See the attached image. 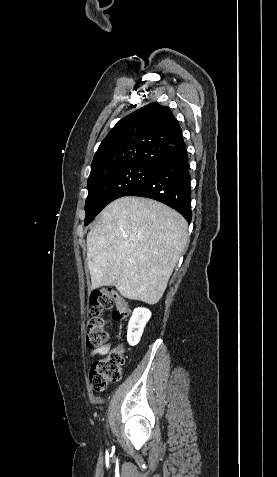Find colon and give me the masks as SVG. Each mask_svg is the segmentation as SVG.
I'll list each match as a JSON object with an SVG mask.
<instances>
[{
  "instance_id": "5ec220e1",
  "label": "colon",
  "mask_w": 277,
  "mask_h": 477,
  "mask_svg": "<svg viewBox=\"0 0 277 477\" xmlns=\"http://www.w3.org/2000/svg\"><path fill=\"white\" fill-rule=\"evenodd\" d=\"M89 303L87 345L90 348H98L109 340L103 311L112 309V318L122 321L127 318L129 308L126 300L112 288L93 291L90 294ZM124 362L125 348L123 346L111 349L105 357L96 360L89 373L92 388L100 392L105 390L110 383L118 381Z\"/></svg>"
}]
</instances>
